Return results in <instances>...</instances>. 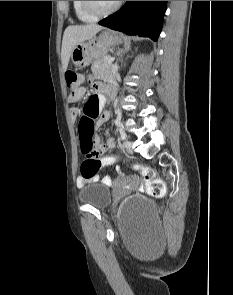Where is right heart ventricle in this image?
<instances>
[{"mask_svg": "<svg viewBox=\"0 0 233 295\" xmlns=\"http://www.w3.org/2000/svg\"><path fill=\"white\" fill-rule=\"evenodd\" d=\"M72 6L76 17L82 22H93L97 17L89 14L83 8L81 1H72Z\"/></svg>", "mask_w": 233, "mask_h": 295, "instance_id": "e07e8e85", "label": "right heart ventricle"}]
</instances>
